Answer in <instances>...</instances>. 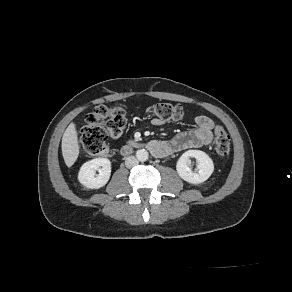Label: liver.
I'll use <instances>...</instances> for the list:
<instances>
[{"mask_svg": "<svg viewBox=\"0 0 292 292\" xmlns=\"http://www.w3.org/2000/svg\"><path fill=\"white\" fill-rule=\"evenodd\" d=\"M62 155L65 164L71 167L78 158L80 146L77 138V131L74 123H70L62 137Z\"/></svg>", "mask_w": 292, "mask_h": 292, "instance_id": "1", "label": "liver"}]
</instances>
